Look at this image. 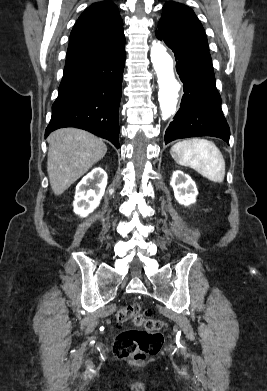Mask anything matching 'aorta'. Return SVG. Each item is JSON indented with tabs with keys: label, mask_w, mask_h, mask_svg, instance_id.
<instances>
[{
	"label": "aorta",
	"mask_w": 267,
	"mask_h": 391,
	"mask_svg": "<svg viewBox=\"0 0 267 391\" xmlns=\"http://www.w3.org/2000/svg\"><path fill=\"white\" fill-rule=\"evenodd\" d=\"M150 57L158 79L161 116L163 120H167L176 111L180 89L173 71V59L164 45L156 41L152 43Z\"/></svg>",
	"instance_id": "1"
}]
</instances>
